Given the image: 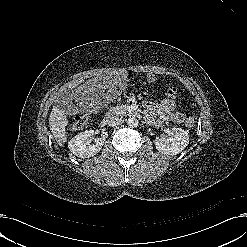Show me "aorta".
I'll use <instances>...</instances> for the list:
<instances>
[{
    "instance_id": "aorta-1",
    "label": "aorta",
    "mask_w": 247,
    "mask_h": 247,
    "mask_svg": "<svg viewBox=\"0 0 247 247\" xmlns=\"http://www.w3.org/2000/svg\"><path fill=\"white\" fill-rule=\"evenodd\" d=\"M127 125L131 128H136L139 125V121L136 117H130L127 120Z\"/></svg>"
}]
</instances>
